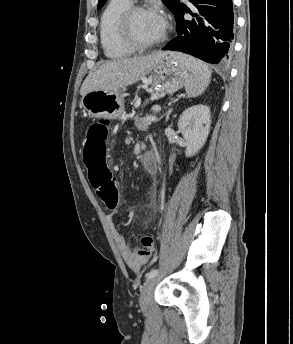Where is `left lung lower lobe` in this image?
Returning a JSON list of instances; mask_svg holds the SVG:
<instances>
[{
  "mask_svg": "<svg viewBox=\"0 0 293 344\" xmlns=\"http://www.w3.org/2000/svg\"><path fill=\"white\" fill-rule=\"evenodd\" d=\"M192 10L178 3L177 37L163 50H175L193 55L213 64H225L232 56L234 14L232 0H190ZM184 11L194 18L185 20Z\"/></svg>",
  "mask_w": 293,
  "mask_h": 344,
  "instance_id": "0a47b994",
  "label": "left lung lower lobe"
}]
</instances>
